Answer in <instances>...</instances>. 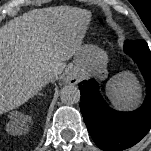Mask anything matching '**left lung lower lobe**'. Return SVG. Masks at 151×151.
<instances>
[{
  "label": "left lung lower lobe",
  "mask_w": 151,
  "mask_h": 151,
  "mask_svg": "<svg viewBox=\"0 0 151 151\" xmlns=\"http://www.w3.org/2000/svg\"><path fill=\"white\" fill-rule=\"evenodd\" d=\"M124 52L137 63L146 82V97L139 109L115 111L104 102L95 80L79 83L80 110L88 132L95 144L105 151L132 147L151 128V51L145 40H126Z\"/></svg>",
  "instance_id": "1"
}]
</instances>
